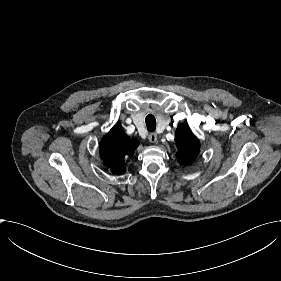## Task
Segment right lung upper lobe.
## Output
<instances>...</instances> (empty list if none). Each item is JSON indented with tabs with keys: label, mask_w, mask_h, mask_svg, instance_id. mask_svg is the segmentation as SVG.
Here are the masks:
<instances>
[{
	"label": "right lung upper lobe",
	"mask_w": 281,
	"mask_h": 281,
	"mask_svg": "<svg viewBox=\"0 0 281 281\" xmlns=\"http://www.w3.org/2000/svg\"><path fill=\"white\" fill-rule=\"evenodd\" d=\"M139 142L130 139L119 127L114 126L102 139L99 147L103 165L112 173L125 171V159L130 158Z\"/></svg>",
	"instance_id": "right-lung-upper-lobe-1"
}]
</instances>
